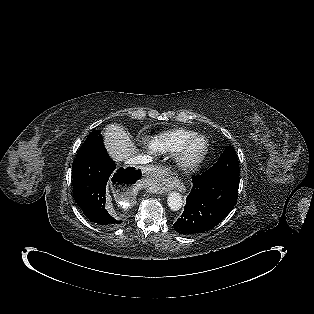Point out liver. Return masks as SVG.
Segmentation results:
<instances>
[{
	"mask_svg": "<svg viewBox=\"0 0 314 314\" xmlns=\"http://www.w3.org/2000/svg\"><path fill=\"white\" fill-rule=\"evenodd\" d=\"M102 134L104 145L116 162L127 159L136 153L134 143L121 126L110 124L104 129Z\"/></svg>",
	"mask_w": 314,
	"mask_h": 314,
	"instance_id": "obj_1",
	"label": "liver"
}]
</instances>
